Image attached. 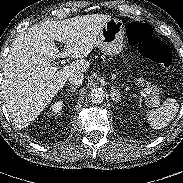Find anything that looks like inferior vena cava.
I'll return each mask as SVG.
<instances>
[{"instance_id": "obj_1", "label": "inferior vena cava", "mask_w": 183, "mask_h": 183, "mask_svg": "<svg viewBox=\"0 0 183 183\" xmlns=\"http://www.w3.org/2000/svg\"><path fill=\"white\" fill-rule=\"evenodd\" d=\"M83 80V74L81 73H74L68 77V81L75 86L82 84Z\"/></svg>"}]
</instances>
